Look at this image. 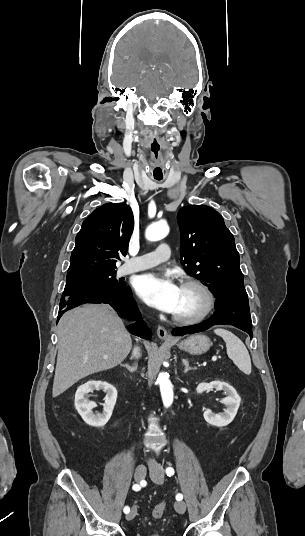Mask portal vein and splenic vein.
<instances>
[{"label":"portal vein and splenic vein","instance_id":"obj_1","mask_svg":"<svg viewBox=\"0 0 305 536\" xmlns=\"http://www.w3.org/2000/svg\"><path fill=\"white\" fill-rule=\"evenodd\" d=\"M216 360H217V356H213L212 362H216Z\"/></svg>","mask_w":305,"mask_h":536}]
</instances>
